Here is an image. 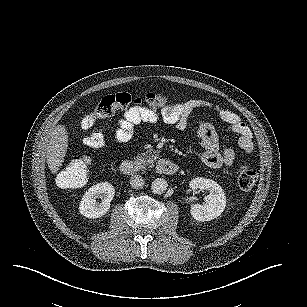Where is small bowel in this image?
Listing matches in <instances>:
<instances>
[{"label": "small bowel", "instance_id": "c3829d8e", "mask_svg": "<svg viewBox=\"0 0 307 307\" xmlns=\"http://www.w3.org/2000/svg\"><path fill=\"white\" fill-rule=\"evenodd\" d=\"M197 108L214 110L228 129L238 136V144L241 149L246 153L253 151L252 133L241 118L231 110L223 109L201 99H190L166 106L160 112L144 107H132L119 119L114 132V139L117 143H125L131 139L135 126L141 123L152 124L159 120L173 125L178 130H183L188 127L191 115ZM198 135L204 149L201 158L206 165L212 168L232 167L234 165L235 151L230 147L223 149L220 147L218 135L213 126L207 123L199 124Z\"/></svg>", "mask_w": 307, "mask_h": 307}]
</instances>
